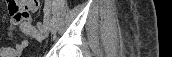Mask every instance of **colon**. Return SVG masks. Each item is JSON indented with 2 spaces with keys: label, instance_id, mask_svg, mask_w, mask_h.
<instances>
[{
  "label": "colon",
  "instance_id": "obj_1",
  "mask_svg": "<svg viewBox=\"0 0 172 57\" xmlns=\"http://www.w3.org/2000/svg\"><path fill=\"white\" fill-rule=\"evenodd\" d=\"M36 28L38 31L43 32V31H45V24L42 22H39V23H37Z\"/></svg>",
  "mask_w": 172,
  "mask_h": 57
}]
</instances>
